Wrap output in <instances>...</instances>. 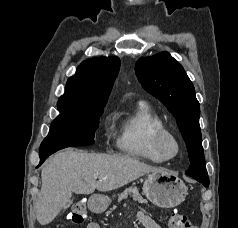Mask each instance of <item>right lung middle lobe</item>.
Returning <instances> with one entry per match:
<instances>
[{"mask_svg":"<svg viewBox=\"0 0 238 228\" xmlns=\"http://www.w3.org/2000/svg\"><path fill=\"white\" fill-rule=\"evenodd\" d=\"M106 103L91 111H62L52 122L40 150L88 146L94 143L95 131Z\"/></svg>","mask_w":238,"mask_h":228,"instance_id":"dd1d6c3e","label":"right lung middle lobe"}]
</instances>
